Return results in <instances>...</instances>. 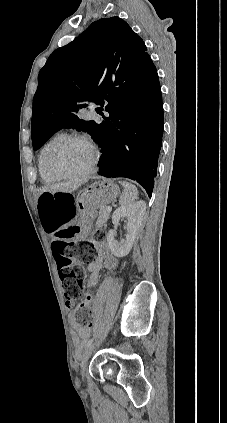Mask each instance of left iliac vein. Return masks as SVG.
<instances>
[{
  "instance_id": "obj_1",
  "label": "left iliac vein",
  "mask_w": 227,
  "mask_h": 423,
  "mask_svg": "<svg viewBox=\"0 0 227 423\" xmlns=\"http://www.w3.org/2000/svg\"><path fill=\"white\" fill-rule=\"evenodd\" d=\"M99 343H92L90 346H88L84 352L83 358H82V362H81V375L82 378L85 377V372H86V365H87V360L89 358V355L91 354V352L95 349V347L98 345Z\"/></svg>"
}]
</instances>
